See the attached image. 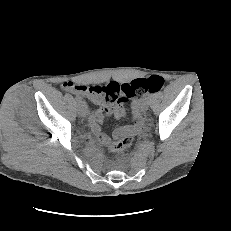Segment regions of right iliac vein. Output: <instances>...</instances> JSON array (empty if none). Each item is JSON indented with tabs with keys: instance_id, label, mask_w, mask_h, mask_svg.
Listing matches in <instances>:
<instances>
[{
	"instance_id": "1",
	"label": "right iliac vein",
	"mask_w": 231,
	"mask_h": 231,
	"mask_svg": "<svg viewBox=\"0 0 231 231\" xmlns=\"http://www.w3.org/2000/svg\"><path fill=\"white\" fill-rule=\"evenodd\" d=\"M77 112L81 117H85L87 114V106L85 103H79L77 106Z\"/></svg>"
}]
</instances>
